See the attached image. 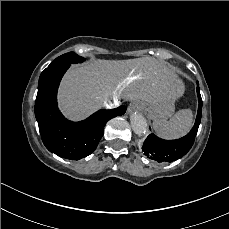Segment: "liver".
<instances>
[{"instance_id": "1", "label": "liver", "mask_w": 229, "mask_h": 229, "mask_svg": "<svg viewBox=\"0 0 229 229\" xmlns=\"http://www.w3.org/2000/svg\"><path fill=\"white\" fill-rule=\"evenodd\" d=\"M184 91L185 85L175 70L154 57L98 59L69 69L61 82L58 101L64 115L77 121L110 99L130 100L133 104L174 103Z\"/></svg>"}]
</instances>
